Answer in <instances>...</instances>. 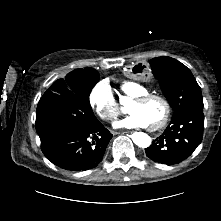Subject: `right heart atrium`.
I'll return each instance as SVG.
<instances>
[{
    "label": "right heart atrium",
    "mask_w": 221,
    "mask_h": 221,
    "mask_svg": "<svg viewBox=\"0 0 221 221\" xmlns=\"http://www.w3.org/2000/svg\"><path fill=\"white\" fill-rule=\"evenodd\" d=\"M89 101L97 115L106 122L116 119L120 114L119 103L107 82H99L92 88Z\"/></svg>",
    "instance_id": "right-heart-atrium-1"
}]
</instances>
